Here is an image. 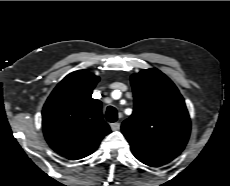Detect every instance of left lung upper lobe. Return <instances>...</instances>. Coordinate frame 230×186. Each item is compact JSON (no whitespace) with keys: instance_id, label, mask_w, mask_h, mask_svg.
<instances>
[{"instance_id":"obj_1","label":"left lung upper lobe","mask_w":230,"mask_h":186,"mask_svg":"<svg viewBox=\"0 0 230 186\" xmlns=\"http://www.w3.org/2000/svg\"><path fill=\"white\" fill-rule=\"evenodd\" d=\"M134 111L122 133L140 161L166 164L177 157L190 135V118L174 83L155 68L131 76Z\"/></svg>"}]
</instances>
